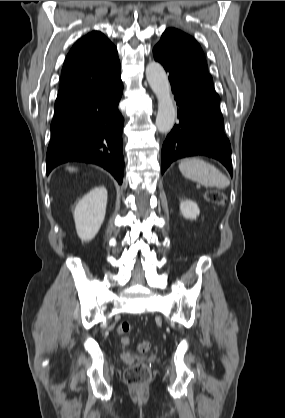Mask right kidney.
Wrapping results in <instances>:
<instances>
[{"instance_id": "ca27d5eb", "label": "right kidney", "mask_w": 285, "mask_h": 418, "mask_svg": "<svg viewBox=\"0 0 285 418\" xmlns=\"http://www.w3.org/2000/svg\"><path fill=\"white\" fill-rule=\"evenodd\" d=\"M107 190L96 187L87 193L76 205L74 221L82 241H90L98 233L106 214Z\"/></svg>"}]
</instances>
